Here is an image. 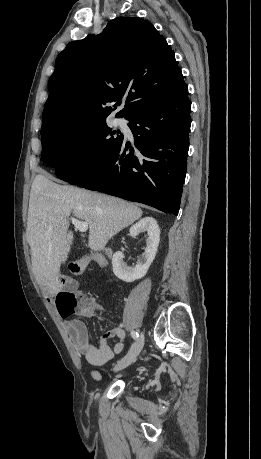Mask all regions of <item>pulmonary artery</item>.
Returning a JSON list of instances; mask_svg holds the SVG:
<instances>
[{
	"label": "pulmonary artery",
	"instance_id": "obj_1",
	"mask_svg": "<svg viewBox=\"0 0 261 459\" xmlns=\"http://www.w3.org/2000/svg\"><path fill=\"white\" fill-rule=\"evenodd\" d=\"M116 122H117L118 124H122V123H123L122 119H117Z\"/></svg>",
	"mask_w": 261,
	"mask_h": 459
}]
</instances>
